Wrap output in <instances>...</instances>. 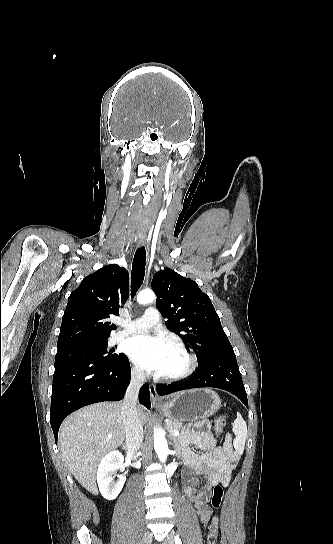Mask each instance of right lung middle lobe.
Instances as JSON below:
<instances>
[{
  "mask_svg": "<svg viewBox=\"0 0 333 544\" xmlns=\"http://www.w3.org/2000/svg\"><path fill=\"white\" fill-rule=\"evenodd\" d=\"M79 346L102 361L111 362L118 359L120 356V354H112L110 353L111 351H107V339L84 342L79 344Z\"/></svg>",
  "mask_w": 333,
  "mask_h": 544,
  "instance_id": "right-lung-middle-lobe-1",
  "label": "right lung middle lobe"
}]
</instances>
